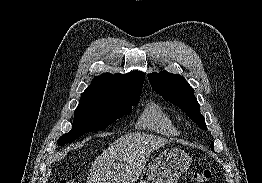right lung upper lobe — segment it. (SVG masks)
<instances>
[{"label":"right lung upper lobe","mask_w":262,"mask_h":183,"mask_svg":"<svg viewBox=\"0 0 262 183\" xmlns=\"http://www.w3.org/2000/svg\"><path fill=\"white\" fill-rule=\"evenodd\" d=\"M145 75L141 71L128 74L105 73L93 79L81 98L107 101L140 99Z\"/></svg>","instance_id":"right-lung-upper-lobe-1"}]
</instances>
